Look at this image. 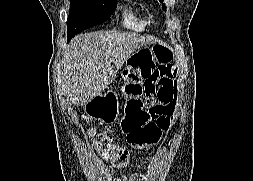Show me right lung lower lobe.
<instances>
[{
	"instance_id": "right-lung-lower-lobe-1",
	"label": "right lung lower lobe",
	"mask_w": 253,
	"mask_h": 181,
	"mask_svg": "<svg viewBox=\"0 0 253 181\" xmlns=\"http://www.w3.org/2000/svg\"><path fill=\"white\" fill-rule=\"evenodd\" d=\"M72 37H74V36H68L67 41L69 42Z\"/></svg>"
}]
</instances>
